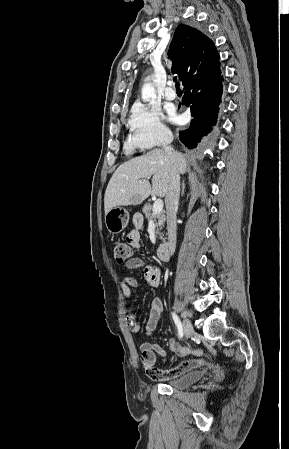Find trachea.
Instances as JSON below:
<instances>
[{
  "instance_id": "1",
  "label": "trachea",
  "mask_w": 289,
  "mask_h": 449,
  "mask_svg": "<svg viewBox=\"0 0 289 449\" xmlns=\"http://www.w3.org/2000/svg\"><path fill=\"white\" fill-rule=\"evenodd\" d=\"M173 80H174V82L176 83V89H179V83L177 82L176 77H175Z\"/></svg>"
}]
</instances>
